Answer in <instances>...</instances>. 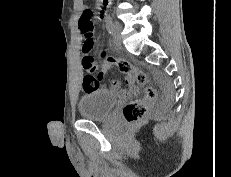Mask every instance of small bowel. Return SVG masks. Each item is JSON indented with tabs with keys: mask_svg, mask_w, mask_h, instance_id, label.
<instances>
[{
	"mask_svg": "<svg viewBox=\"0 0 231 177\" xmlns=\"http://www.w3.org/2000/svg\"><path fill=\"white\" fill-rule=\"evenodd\" d=\"M97 1L100 3V7L101 8L107 6V4H108L107 0H97ZM87 10H89V9H87L83 5L82 14H84ZM101 16H102L101 12H98L96 14V18H98V19H100ZM112 66L113 65L110 62H108L107 60H105L101 64V69H100V71L97 74V77H98V79H99L100 82L104 79V76L106 75V73L108 72V70L111 69ZM126 83L131 87V89H134V81H133V79L130 76L126 77ZM110 87H111V89L117 90V89L120 88V82L117 81V80H112Z\"/></svg>",
	"mask_w": 231,
	"mask_h": 177,
	"instance_id": "c3829d8e",
	"label": "small bowel"
}]
</instances>
